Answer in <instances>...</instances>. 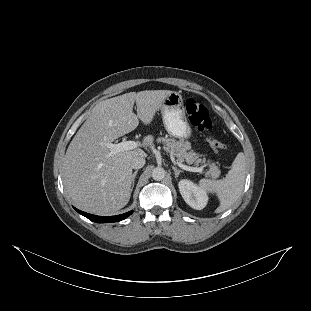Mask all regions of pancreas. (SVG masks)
Listing matches in <instances>:
<instances>
[{"mask_svg": "<svg viewBox=\"0 0 311 311\" xmlns=\"http://www.w3.org/2000/svg\"><path fill=\"white\" fill-rule=\"evenodd\" d=\"M157 143H162L163 149L173 154L179 162L188 164H204L206 163L205 158H200L202 155L191 150V143L184 139L176 140L174 138L158 137ZM221 174L219 167L215 163H209V170L205 172L206 177H210L213 180L218 178Z\"/></svg>", "mask_w": 311, "mask_h": 311, "instance_id": "pancreas-1", "label": "pancreas"}]
</instances>
